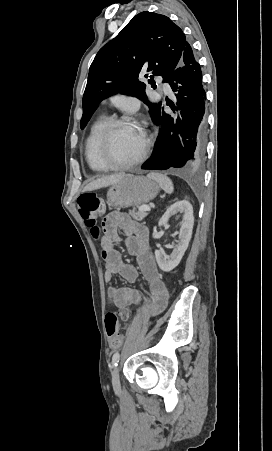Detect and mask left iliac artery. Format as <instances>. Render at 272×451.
Segmentation results:
<instances>
[{"label":"left iliac artery","instance_id":"obj_1","mask_svg":"<svg viewBox=\"0 0 272 451\" xmlns=\"http://www.w3.org/2000/svg\"><path fill=\"white\" fill-rule=\"evenodd\" d=\"M119 360H120V354L117 352L112 357V364L114 367H116L118 365Z\"/></svg>","mask_w":272,"mask_h":451}]
</instances>
